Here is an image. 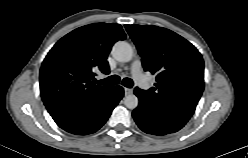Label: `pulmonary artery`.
I'll use <instances>...</instances> for the list:
<instances>
[{"instance_id": "obj_1", "label": "pulmonary artery", "mask_w": 248, "mask_h": 158, "mask_svg": "<svg viewBox=\"0 0 248 158\" xmlns=\"http://www.w3.org/2000/svg\"><path fill=\"white\" fill-rule=\"evenodd\" d=\"M131 72L135 82L143 89L150 87L149 79L142 73V64L140 58H136L131 67Z\"/></svg>"}]
</instances>
